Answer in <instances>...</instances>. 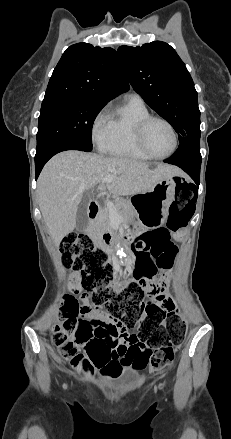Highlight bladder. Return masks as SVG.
<instances>
[{
  "instance_id": "obj_1",
  "label": "bladder",
  "mask_w": 231,
  "mask_h": 439,
  "mask_svg": "<svg viewBox=\"0 0 231 439\" xmlns=\"http://www.w3.org/2000/svg\"><path fill=\"white\" fill-rule=\"evenodd\" d=\"M142 378L143 377L139 371L133 370L128 374L124 387L125 388L135 387L141 382Z\"/></svg>"
}]
</instances>
